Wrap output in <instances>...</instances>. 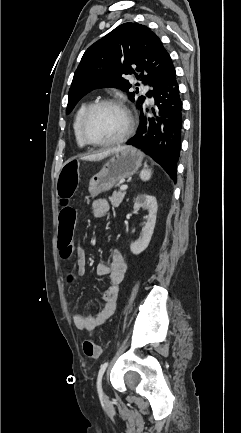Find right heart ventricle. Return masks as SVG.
Instances as JSON below:
<instances>
[{
	"label": "right heart ventricle",
	"instance_id": "e07e8e85",
	"mask_svg": "<svg viewBox=\"0 0 241 433\" xmlns=\"http://www.w3.org/2000/svg\"><path fill=\"white\" fill-rule=\"evenodd\" d=\"M90 102H84L82 103L79 108L77 109L75 116H74V121H73V132H74V137H75V141L77 143V145L79 147H85L87 144L84 142L81 133H80V122H81V118L84 114V112L86 111V109L90 106Z\"/></svg>",
	"mask_w": 241,
	"mask_h": 433
}]
</instances>
